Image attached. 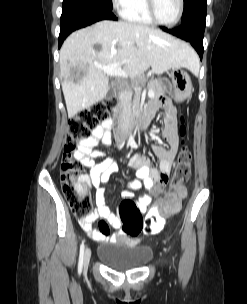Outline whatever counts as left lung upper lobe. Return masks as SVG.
I'll return each mask as SVG.
<instances>
[{"instance_id":"5c2ea615","label":"left lung upper lobe","mask_w":247,"mask_h":304,"mask_svg":"<svg viewBox=\"0 0 247 304\" xmlns=\"http://www.w3.org/2000/svg\"><path fill=\"white\" fill-rule=\"evenodd\" d=\"M206 0H184V10L181 21H186L195 10L206 7Z\"/></svg>"}]
</instances>
